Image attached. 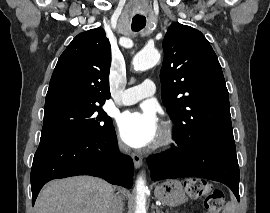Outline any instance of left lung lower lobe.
I'll return each mask as SVG.
<instances>
[{"mask_svg": "<svg viewBox=\"0 0 270 213\" xmlns=\"http://www.w3.org/2000/svg\"><path fill=\"white\" fill-rule=\"evenodd\" d=\"M175 138V137H174ZM176 147L148 157L153 180L202 177L227 185L239 201V166L234 137L179 139Z\"/></svg>", "mask_w": 270, "mask_h": 213, "instance_id": "obj_1", "label": "left lung lower lobe"}]
</instances>
